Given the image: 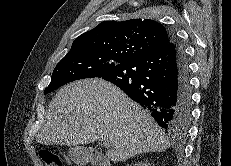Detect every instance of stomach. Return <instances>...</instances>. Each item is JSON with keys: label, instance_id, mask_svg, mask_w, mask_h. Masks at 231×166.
I'll return each instance as SVG.
<instances>
[{"label": "stomach", "instance_id": "stomach-1", "mask_svg": "<svg viewBox=\"0 0 231 166\" xmlns=\"http://www.w3.org/2000/svg\"><path fill=\"white\" fill-rule=\"evenodd\" d=\"M69 158L79 164L86 163L88 161V157L86 155V150L82 147H71L69 149Z\"/></svg>", "mask_w": 231, "mask_h": 166}]
</instances>
